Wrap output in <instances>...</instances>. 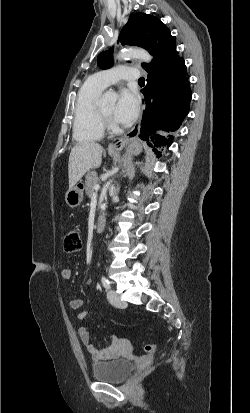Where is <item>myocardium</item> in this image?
Listing matches in <instances>:
<instances>
[{"label": "myocardium", "mask_w": 250, "mask_h": 413, "mask_svg": "<svg viewBox=\"0 0 250 413\" xmlns=\"http://www.w3.org/2000/svg\"><path fill=\"white\" fill-rule=\"evenodd\" d=\"M99 108L100 115L104 121L105 126H110L113 124V118L111 115L107 114L101 107Z\"/></svg>", "instance_id": "obj_1"}]
</instances>
